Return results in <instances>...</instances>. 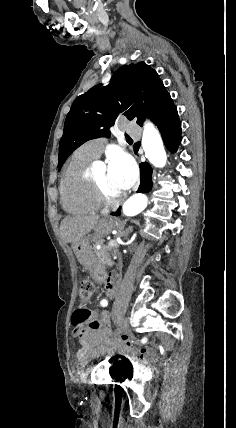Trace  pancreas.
I'll list each match as a JSON object with an SVG mask.
<instances>
[{
	"label": "pancreas",
	"mask_w": 236,
	"mask_h": 428,
	"mask_svg": "<svg viewBox=\"0 0 236 428\" xmlns=\"http://www.w3.org/2000/svg\"><path fill=\"white\" fill-rule=\"evenodd\" d=\"M98 244L99 242H97V244H94V252L98 260H100L102 264H110L109 252L111 248H109V246H101L100 250H96V246H98Z\"/></svg>",
	"instance_id": "pancreas-1"
}]
</instances>
